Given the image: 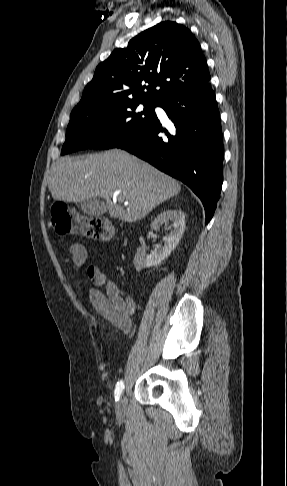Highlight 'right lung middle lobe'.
<instances>
[{
	"label": "right lung middle lobe",
	"instance_id": "right-lung-middle-lobe-1",
	"mask_svg": "<svg viewBox=\"0 0 287 486\" xmlns=\"http://www.w3.org/2000/svg\"><path fill=\"white\" fill-rule=\"evenodd\" d=\"M143 105V110H140ZM157 103L126 99L71 112L61 155L81 149H110L139 132L156 115Z\"/></svg>",
	"mask_w": 287,
	"mask_h": 486
}]
</instances>
